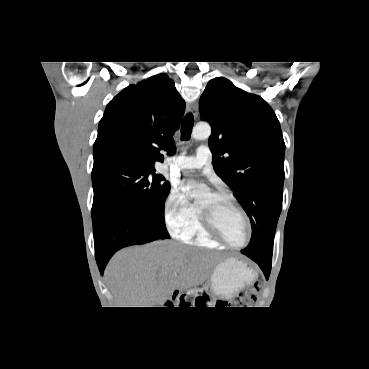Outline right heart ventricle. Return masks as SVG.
Segmentation results:
<instances>
[{
	"label": "right heart ventricle",
	"instance_id": "right-heart-ventricle-1",
	"mask_svg": "<svg viewBox=\"0 0 369 369\" xmlns=\"http://www.w3.org/2000/svg\"><path fill=\"white\" fill-rule=\"evenodd\" d=\"M182 240L193 242L196 245L208 247V248H218L221 246L219 242L211 238L207 232L204 230L198 214L192 226L190 227L188 233L180 236Z\"/></svg>",
	"mask_w": 369,
	"mask_h": 369
}]
</instances>
